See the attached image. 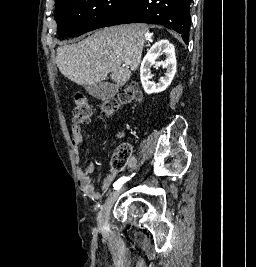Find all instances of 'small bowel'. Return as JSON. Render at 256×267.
Instances as JSON below:
<instances>
[{"mask_svg": "<svg viewBox=\"0 0 256 267\" xmlns=\"http://www.w3.org/2000/svg\"><path fill=\"white\" fill-rule=\"evenodd\" d=\"M72 133V146L75 152V162L79 164L80 156L79 149L83 145V136L81 132V128L77 123H73L71 126ZM94 171V165L92 162H88V164L82 168L78 166L77 168V176L80 184L81 190L84 194L91 200L97 201L102 197V192L95 190L90 174ZM118 175V171L115 169H111L108 175L104 178L101 189L104 191L112 186L116 177Z\"/></svg>", "mask_w": 256, "mask_h": 267, "instance_id": "c3829d8e", "label": "small bowel"}]
</instances>
